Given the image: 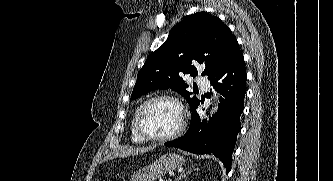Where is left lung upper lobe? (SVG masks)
I'll use <instances>...</instances> for the list:
<instances>
[{"label": "left lung upper lobe", "mask_w": 333, "mask_h": 181, "mask_svg": "<svg viewBox=\"0 0 333 181\" xmlns=\"http://www.w3.org/2000/svg\"><path fill=\"white\" fill-rule=\"evenodd\" d=\"M236 37L222 21L207 12L187 16L169 34L166 42L150 54L138 72L131 99L157 90L171 88L182 95L192 109L199 100L190 98L185 74L195 77L202 65V75L216 71L238 47Z\"/></svg>", "instance_id": "1"}]
</instances>
